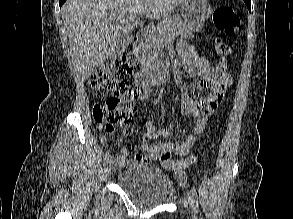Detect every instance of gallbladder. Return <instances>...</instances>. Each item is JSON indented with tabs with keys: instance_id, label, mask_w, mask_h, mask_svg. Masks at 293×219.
I'll return each instance as SVG.
<instances>
[{
	"instance_id": "1",
	"label": "gallbladder",
	"mask_w": 293,
	"mask_h": 219,
	"mask_svg": "<svg viewBox=\"0 0 293 219\" xmlns=\"http://www.w3.org/2000/svg\"><path fill=\"white\" fill-rule=\"evenodd\" d=\"M133 39H134V37L131 34L122 35L118 39L116 49H115L114 53H112L110 58L116 59V58L120 57L124 53V51L128 48V46L132 43Z\"/></svg>"
}]
</instances>
